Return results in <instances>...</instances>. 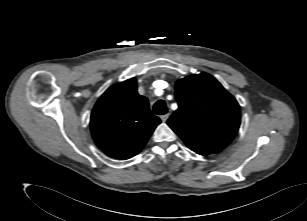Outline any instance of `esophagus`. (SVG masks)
Returning a JSON list of instances; mask_svg holds the SVG:
<instances>
[{
	"instance_id": "esophagus-1",
	"label": "esophagus",
	"mask_w": 307,
	"mask_h": 221,
	"mask_svg": "<svg viewBox=\"0 0 307 221\" xmlns=\"http://www.w3.org/2000/svg\"><path fill=\"white\" fill-rule=\"evenodd\" d=\"M168 118H169V113L164 114V115L161 116V120H162L163 122H166Z\"/></svg>"
}]
</instances>
